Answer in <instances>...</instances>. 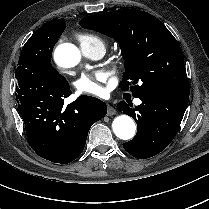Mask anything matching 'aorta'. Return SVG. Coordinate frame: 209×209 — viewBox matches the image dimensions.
I'll return each mask as SVG.
<instances>
[{"mask_svg": "<svg viewBox=\"0 0 209 209\" xmlns=\"http://www.w3.org/2000/svg\"><path fill=\"white\" fill-rule=\"evenodd\" d=\"M55 62L64 68L76 66L81 60L80 51L76 46L69 43L59 45L54 53ZM113 132L123 140L131 139L136 132L133 119L127 115L117 116L112 123Z\"/></svg>", "mask_w": 209, "mask_h": 209, "instance_id": "aorta-1", "label": "aorta"}]
</instances>
